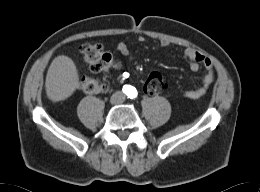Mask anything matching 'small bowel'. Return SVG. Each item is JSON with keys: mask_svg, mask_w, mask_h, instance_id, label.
Here are the masks:
<instances>
[{"mask_svg": "<svg viewBox=\"0 0 260 192\" xmlns=\"http://www.w3.org/2000/svg\"><path fill=\"white\" fill-rule=\"evenodd\" d=\"M139 41L143 42L144 38L140 37ZM161 45L166 47L169 45V42L162 41ZM116 51L123 56L132 58L129 46L124 42H120L116 45ZM183 55L185 60L189 63L191 71L197 72L201 67H204L206 70V74L202 78L201 85L197 88L186 90L183 95L189 99L201 98L207 93L208 89L215 80L213 63L207 56L191 48L185 49ZM122 77L124 78L125 76L123 75Z\"/></svg>", "mask_w": 260, "mask_h": 192, "instance_id": "small-bowel-1", "label": "small bowel"}]
</instances>
